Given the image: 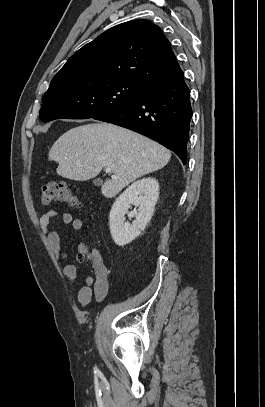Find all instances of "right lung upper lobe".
<instances>
[{
	"instance_id": "right-lung-upper-lobe-1",
	"label": "right lung upper lobe",
	"mask_w": 265,
	"mask_h": 407,
	"mask_svg": "<svg viewBox=\"0 0 265 407\" xmlns=\"http://www.w3.org/2000/svg\"><path fill=\"white\" fill-rule=\"evenodd\" d=\"M176 65L160 27L140 19L117 25L83 46L52 82L100 76L149 86L170 75Z\"/></svg>"
}]
</instances>
